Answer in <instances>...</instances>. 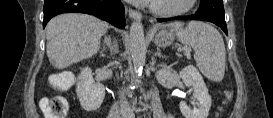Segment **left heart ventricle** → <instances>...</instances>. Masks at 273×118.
<instances>
[{
  "label": "left heart ventricle",
  "mask_w": 273,
  "mask_h": 118,
  "mask_svg": "<svg viewBox=\"0 0 273 118\" xmlns=\"http://www.w3.org/2000/svg\"><path fill=\"white\" fill-rule=\"evenodd\" d=\"M186 0H158L156 6L166 9H176L184 5Z\"/></svg>",
  "instance_id": "left-heart-ventricle-1"
}]
</instances>
